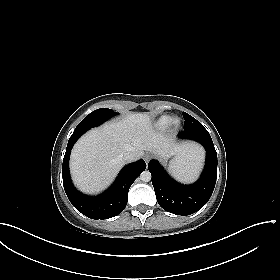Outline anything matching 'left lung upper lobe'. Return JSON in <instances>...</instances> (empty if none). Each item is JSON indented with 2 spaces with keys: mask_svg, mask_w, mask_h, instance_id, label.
<instances>
[{
  "mask_svg": "<svg viewBox=\"0 0 280 280\" xmlns=\"http://www.w3.org/2000/svg\"><path fill=\"white\" fill-rule=\"evenodd\" d=\"M183 117L185 120L184 131L205 129V127L199 121H197L195 118H193L189 114L183 112Z\"/></svg>",
  "mask_w": 280,
  "mask_h": 280,
  "instance_id": "left-lung-upper-lobe-1",
  "label": "left lung upper lobe"
}]
</instances>
